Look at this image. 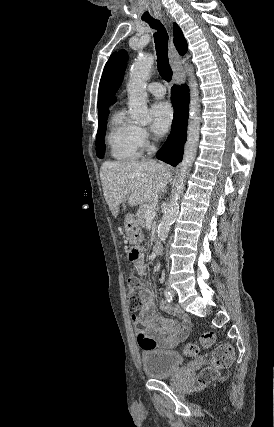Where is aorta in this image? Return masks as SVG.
<instances>
[{
  "instance_id": "obj_1",
  "label": "aorta",
  "mask_w": 274,
  "mask_h": 427,
  "mask_svg": "<svg viewBox=\"0 0 274 427\" xmlns=\"http://www.w3.org/2000/svg\"><path fill=\"white\" fill-rule=\"evenodd\" d=\"M154 57L149 54L139 55L133 63L130 70L127 92L129 96L128 106L130 115L133 120L139 123H145L149 120V113L146 106V82L149 78L153 67ZM190 106L189 121L187 129V141L184 147L183 160L180 163V173L175 182L170 201L167 204L162 220L158 226V237L164 241L170 229L175 222L178 209L179 199L185 188V179L195 160L200 134V117L197 82L190 78Z\"/></svg>"
}]
</instances>
